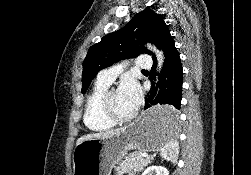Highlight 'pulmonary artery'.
<instances>
[{
    "label": "pulmonary artery",
    "instance_id": "pulmonary-artery-1",
    "mask_svg": "<svg viewBox=\"0 0 251 175\" xmlns=\"http://www.w3.org/2000/svg\"><path fill=\"white\" fill-rule=\"evenodd\" d=\"M142 55V58H139L138 56L133 58L131 66L142 67V70H151V68L153 67L152 56L145 55L144 53ZM118 70V67H111L103 70L99 73L98 80L110 85L115 80Z\"/></svg>",
    "mask_w": 251,
    "mask_h": 175
}]
</instances>
